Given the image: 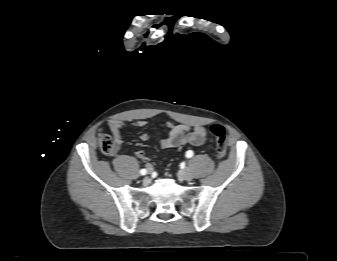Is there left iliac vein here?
Instances as JSON below:
<instances>
[{"label":"left iliac vein","instance_id":"4c4485c4","mask_svg":"<svg viewBox=\"0 0 337 261\" xmlns=\"http://www.w3.org/2000/svg\"><path fill=\"white\" fill-rule=\"evenodd\" d=\"M180 176L183 180L190 181L193 178L192 172L189 168H185L180 172Z\"/></svg>","mask_w":337,"mask_h":261}]
</instances>
